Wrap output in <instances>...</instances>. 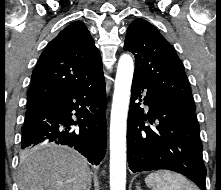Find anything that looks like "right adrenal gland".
<instances>
[{"mask_svg":"<svg viewBox=\"0 0 221 190\" xmlns=\"http://www.w3.org/2000/svg\"><path fill=\"white\" fill-rule=\"evenodd\" d=\"M91 189V185H89V187L87 188V190H90Z\"/></svg>","mask_w":221,"mask_h":190,"instance_id":"2a0ac1e0","label":"right adrenal gland"}]
</instances>
